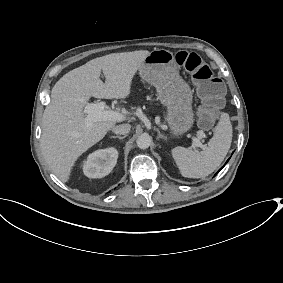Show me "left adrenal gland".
Returning <instances> with one entry per match:
<instances>
[{
	"label": "left adrenal gland",
	"mask_w": 283,
	"mask_h": 283,
	"mask_svg": "<svg viewBox=\"0 0 283 283\" xmlns=\"http://www.w3.org/2000/svg\"><path fill=\"white\" fill-rule=\"evenodd\" d=\"M155 130L158 132V135H159V137H158V138H159V139H162V140H164V141H167V140H166V138H165L164 136H162V135H161V133H160V131H159V129H158V128H155Z\"/></svg>",
	"instance_id": "left-adrenal-gland-1"
}]
</instances>
